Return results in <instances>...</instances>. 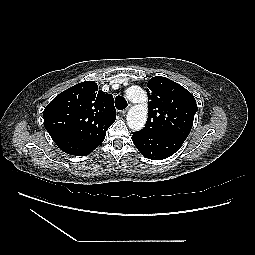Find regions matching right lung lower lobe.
<instances>
[{
    "label": "right lung lower lobe",
    "instance_id": "98d812e1",
    "mask_svg": "<svg viewBox=\"0 0 255 255\" xmlns=\"http://www.w3.org/2000/svg\"><path fill=\"white\" fill-rule=\"evenodd\" d=\"M104 138H105V134H104V136L100 137L98 140L93 142L91 145H89V147L87 148L85 154H83L82 156L88 155L94 149H96L103 142Z\"/></svg>",
    "mask_w": 255,
    "mask_h": 255
}]
</instances>
